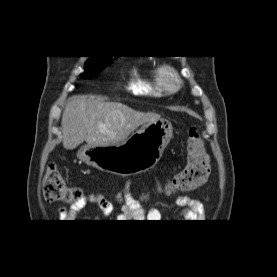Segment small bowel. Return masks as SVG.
<instances>
[{"label":"small bowel","instance_id":"small-bowel-1","mask_svg":"<svg viewBox=\"0 0 277 277\" xmlns=\"http://www.w3.org/2000/svg\"><path fill=\"white\" fill-rule=\"evenodd\" d=\"M129 190L130 184L126 186L124 193L116 196L122 209L117 217L119 220H148L149 222H159L162 219V215L158 209L140 207ZM175 202L178 206L183 207L181 213L183 220L196 222L197 220H201L205 215V205L198 199L178 195L175 198ZM89 203L95 204L105 216H110L114 212V207L108 199L98 194H89L86 196L83 195L70 208H60L58 210V219L60 222H72Z\"/></svg>","mask_w":277,"mask_h":277}]
</instances>
